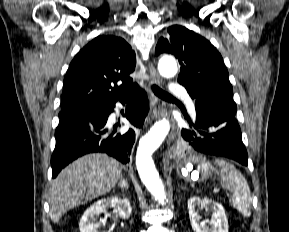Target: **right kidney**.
I'll return each instance as SVG.
<instances>
[{"label":"right kidney","instance_id":"obj_1","mask_svg":"<svg viewBox=\"0 0 289 232\" xmlns=\"http://www.w3.org/2000/svg\"><path fill=\"white\" fill-rule=\"evenodd\" d=\"M108 208H115L122 219H128L131 215V204L125 197H107L93 203L81 217L80 232H99L101 220L99 215L106 213ZM110 232V231H108Z\"/></svg>","mask_w":289,"mask_h":232}]
</instances>
